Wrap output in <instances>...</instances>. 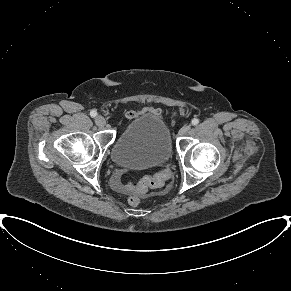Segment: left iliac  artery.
I'll use <instances>...</instances> for the list:
<instances>
[{"label": "left iliac artery", "instance_id": "left-iliac-artery-1", "mask_svg": "<svg viewBox=\"0 0 291 291\" xmlns=\"http://www.w3.org/2000/svg\"><path fill=\"white\" fill-rule=\"evenodd\" d=\"M192 125L195 126L199 123V119L197 118H194L192 121H191Z\"/></svg>", "mask_w": 291, "mask_h": 291}]
</instances>
